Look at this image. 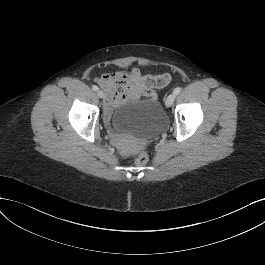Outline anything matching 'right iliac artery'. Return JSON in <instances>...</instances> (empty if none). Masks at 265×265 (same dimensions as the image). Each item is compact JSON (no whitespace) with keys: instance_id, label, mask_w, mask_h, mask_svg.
<instances>
[{"instance_id":"1","label":"right iliac artery","mask_w":265,"mask_h":265,"mask_svg":"<svg viewBox=\"0 0 265 265\" xmlns=\"http://www.w3.org/2000/svg\"><path fill=\"white\" fill-rule=\"evenodd\" d=\"M92 88L94 91H97L99 89L98 86H96V85H93Z\"/></svg>"}]
</instances>
